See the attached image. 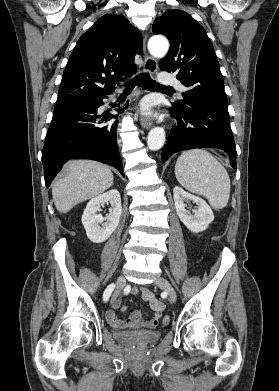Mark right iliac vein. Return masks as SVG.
<instances>
[{"instance_id": "63e3f726", "label": "right iliac vein", "mask_w": 279, "mask_h": 391, "mask_svg": "<svg viewBox=\"0 0 279 391\" xmlns=\"http://www.w3.org/2000/svg\"><path fill=\"white\" fill-rule=\"evenodd\" d=\"M125 278L123 275H120L117 279V287L115 289V292L113 293L112 295V298H111V303H113L115 301V299L119 296V294L121 293V291L123 290L124 286H125Z\"/></svg>"}]
</instances>
